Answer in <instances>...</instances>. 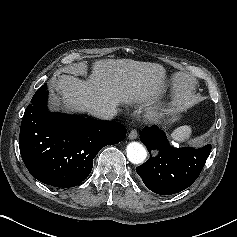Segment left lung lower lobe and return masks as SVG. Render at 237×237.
<instances>
[{
	"instance_id": "1",
	"label": "left lung lower lobe",
	"mask_w": 237,
	"mask_h": 237,
	"mask_svg": "<svg viewBox=\"0 0 237 237\" xmlns=\"http://www.w3.org/2000/svg\"><path fill=\"white\" fill-rule=\"evenodd\" d=\"M140 139L149 153L158 151L136 168L148 189L160 195H171L188 188L200 175L211 144L201 148H174L162 129L153 125L140 132Z\"/></svg>"
}]
</instances>
